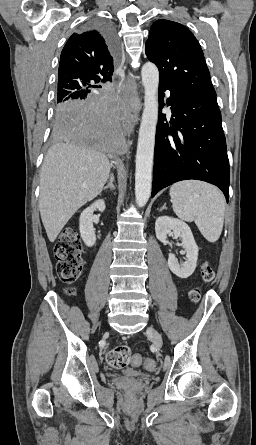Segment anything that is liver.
I'll return each instance as SVG.
<instances>
[{
    "label": "liver",
    "mask_w": 256,
    "mask_h": 445,
    "mask_svg": "<svg viewBox=\"0 0 256 445\" xmlns=\"http://www.w3.org/2000/svg\"><path fill=\"white\" fill-rule=\"evenodd\" d=\"M110 168L107 157L80 142H59L48 150L40 174L39 210L50 242L102 191Z\"/></svg>",
    "instance_id": "6515ba94"
}]
</instances>
